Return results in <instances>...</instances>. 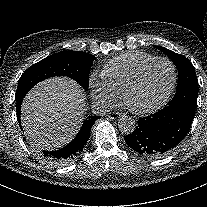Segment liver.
I'll return each instance as SVG.
<instances>
[{
	"label": "liver",
	"mask_w": 207,
	"mask_h": 207,
	"mask_svg": "<svg viewBox=\"0 0 207 207\" xmlns=\"http://www.w3.org/2000/svg\"><path fill=\"white\" fill-rule=\"evenodd\" d=\"M85 95L69 78H51L37 84L25 97L21 110L30 143L52 150L69 142L83 121Z\"/></svg>",
	"instance_id": "liver-1"
}]
</instances>
